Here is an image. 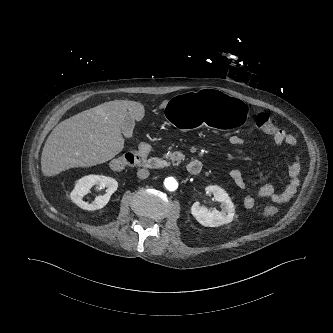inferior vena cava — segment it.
Instances as JSON below:
<instances>
[{
	"instance_id": "obj_1",
	"label": "inferior vena cava",
	"mask_w": 333,
	"mask_h": 333,
	"mask_svg": "<svg viewBox=\"0 0 333 333\" xmlns=\"http://www.w3.org/2000/svg\"><path fill=\"white\" fill-rule=\"evenodd\" d=\"M149 171L147 169H139L137 176L141 179H146L149 176Z\"/></svg>"
}]
</instances>
